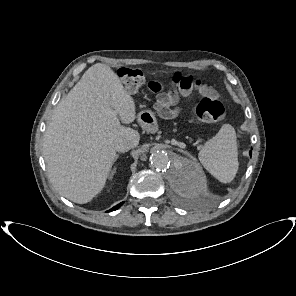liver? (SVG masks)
Returning <instances> with one entry per match:
<instances>
[{"instance_id": "obj_1", "label": "liver", "mask_w": 296, "mask_h": 296, "mask_svg": "<svg viewBox=\"0 0 296 296\" xmlns=\"http://www.w3.org/2000/svg\"><path fill=\"white\" fill-rule=\"evenodd\" d=\"M118 116L132 123L134 100L114 71L97 63L58 103L45 131L44 160L59 194L79 204L91 201L105 186L116 143L139 144V133Z\"/></svg>"}]
</instances>
